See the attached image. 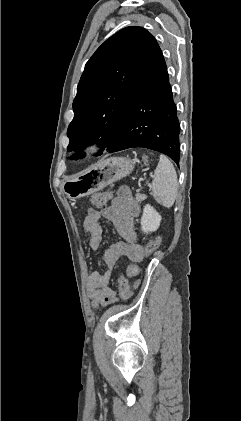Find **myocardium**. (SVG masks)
I'll use <instances>...</instances> for the list:
<instances>
[{"label":"myocardium","instance_id":"f54148a6","mask_svg":"<svg viewBox=\"0 0 241 421\" xmlns=\"http://www.w3.org/2000/svg\"><path fill=\"white\" fill-rule=\"evenodd\" d=\"M102 144L99 140H89L83 147V151L87 155H93L101 150Z\"/></svg>","mask_w":241,"mask_h":421}]
</instances>
